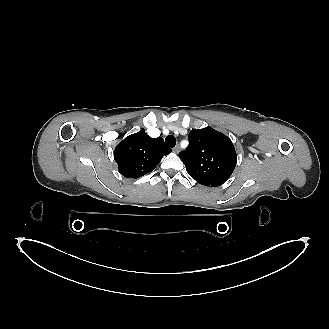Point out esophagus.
<instances>
[{
	"label": "esophagus",
	"mask_w": 329,
	"mask_h": 329,
	"mask_svg": "<svg viewBox=\"0 0 329 329\" xmlns=\"http://www.w3.org/2000/svg\"><path fill=\"white\" fill-rule=\"evenodd\" d=\"M173 152L178 154L180 152V147L177 145L173 148Z\"/></svg>",
	"instance_id": "1"
}]
</instances>
